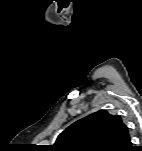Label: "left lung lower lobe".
<instances>
[{
  "instance_id": "left-lung-lower-lobe-1",
  "label": "left lung lower lobe",
  "mask_w": 142,
  "mask_h": 151,
  "mask_svg": "<svg viewBox=\"0 0 142 151\" xmlns=\"http://www.w3.org/2000/svg\"><path fill=\"white\" fill-rule=\"evenodd\" d=\"M133 150V147H131L130 149H129V151H132Z\"/></svg>"
}]
</instances>
